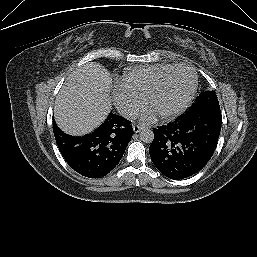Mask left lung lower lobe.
<instances>
[{
    "label": "left lung lower lobe",
    "instance_id": "obj_1",
    "mask_svg": "<svg viewBox=\"0 0 257 257\" xmlns=\"http://www.w3.org/2000/svg\"><path fill=\"white\" fill-rule=\"evenodd\" d=\"M221 124L220 109H189L173 122L153 129L149 153L154 165L173 180L196 174L211 159Z\"/></svg>",
    "mask_w": 257,
    "mask_h": 257
}]
</instances>
